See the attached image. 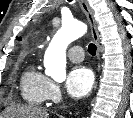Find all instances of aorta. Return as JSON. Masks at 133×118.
Returning <instances> with one entry per match:
<instances>
[{"label":"aorta","mask_w":133,"mask_h":118,"mask_svg":"<svg viewBox=\"0 0 133 118\" xmlns=\"http://www.w3.org/2000/svg\"><path fill=\"white\" fill-rule=\"evenodd\" d=\"M86 32L87 27L82 22L70 21L62 24L45 52L44 66L47 75L55 80L66 78V49Z\"/></svg>","instance_id":"1"}]
</instances>
